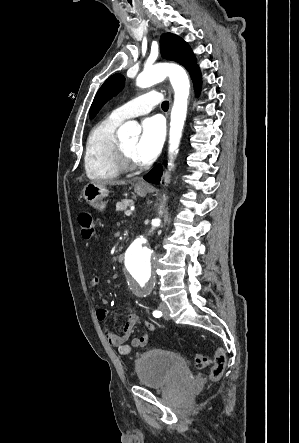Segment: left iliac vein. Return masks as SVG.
<instances>
[{
	"mask_svg": "<svg viewBox=\"0 0 299 443\" xmlns=\"http://www.w3.org/2000/svg\"><path fill=\"white\" fill-rule=\"evenodd\" d=\"M160 310L162 311L163 317L165 319H167V320L170 319V312H169V308L166 303L160 304Z\"/></svg>",
	"mask_w": 299,
	"mask_h": 443,
	"instance_id": "left-iliac-vein-1",
	"label": "left iliac vein"
}]
</instances>
